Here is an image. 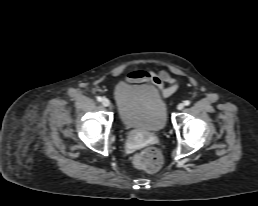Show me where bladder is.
Listing matches in <instances>:
<instances>
[{"label":"bladder","instance_id":"obj_1","mask_svg":"<svg viewBox=\"0 0 258 206\" xmlns=\"http://www.w3.org/2000/svg\"><path fill=\"white\" fill-rule=\"evenodd\" d=\"M114 98L121 122L128 128L148 132L162 130L167 122V107L156 88L120 82Z\"/></svg>","mask_w":258,"mask_h":206}]
</instances>
